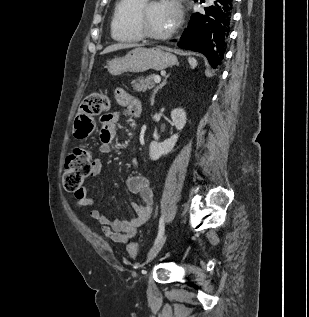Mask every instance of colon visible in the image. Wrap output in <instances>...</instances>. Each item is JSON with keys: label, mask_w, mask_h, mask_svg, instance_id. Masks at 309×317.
Masks as SVG:
<instances>
[{"label": "colon", "mask_w": 309, "mask_h": 317, "mask_svg": "<svg viewBox=\"0 0 309 317\" xmlns=\"http://www.w3.org/2000/svg\"><path fill=\"white\" fill-rule=\"evenodd\" d=\"M109 108V98L104 93H92L86 96L80 106L74 121L75 135L85 138L91 134L95 127L94 118ZM93 160L88 150L75 148L66 158L63 174V186L69 192L79 191L85 179L91 174ZM131 256L138 254L137 246L129 244Z\"/></svg>", "instance_id": "5ec220e1"}]
</instances>
